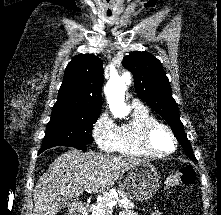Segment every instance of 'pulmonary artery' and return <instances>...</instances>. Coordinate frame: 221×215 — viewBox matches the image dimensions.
Returning <instances> with one entry per match:
<instances>
[{
  "label": "pulmonary artery",
  "mask_w": 221,
  "mask_h": 215,
  "mask_svg": "<svg viewBox=\"0 0 221 215\" xmlns=\"http://www.w3.org/2000/svg\"><path fill=\"white\" fill-rule=\"evenodd\" d=\"M132 107H133V108H139V107H143V105H142V103H141L139 100L134 99V100L132 101Z\"/></svg>",
  "instance_id": "pulmonary-artery-1"
}]
</instances>
